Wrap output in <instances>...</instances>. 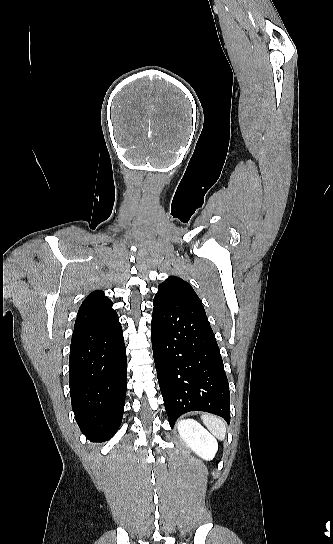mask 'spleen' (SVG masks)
<instances>
[{
    "label": "spleen",
    "mask_w": 333,
    "mask_h": 544,
    "mask_svg": "<svg viewBox=\"0 0 333 544\" xmlns=\"http://www.w3.org/2000/svg\"><path fill=\"white\" fill-rule=\"evenodd\" d=\"M203 423L205 426L213 433L218 439L223 440L226 435V426L223 419L209 415L204 414L201 417Z\"/></svg>",
    "instance_id": "obj_1"
}]
</instances>
